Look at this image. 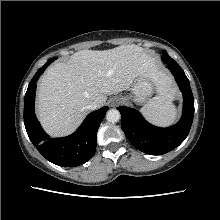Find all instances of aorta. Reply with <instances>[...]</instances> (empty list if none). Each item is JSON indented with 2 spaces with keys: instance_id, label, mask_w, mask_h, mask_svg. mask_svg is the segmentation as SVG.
I'll list each match as a JSON object with an SVG mask.
<instances>
[{
  "instance_id": "aorta-1",
  "label": "aorta",
  "mask_w": 220,
  "mask_h": 220,
  "mask_svg": "<svg viewBox=\"0 0 220 220\" xmlns=\"http://www.w3.org/2000/svg\"><path fill=\"white\" fill-rule=\"evenodd\" d=\"M121 118L120 112L117 109H110L106 113L107 121L111 123L118 122Z\"/></svg>"
}]
</instances>
